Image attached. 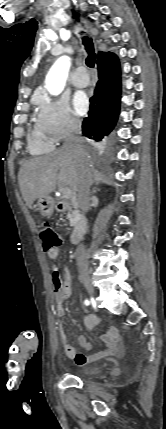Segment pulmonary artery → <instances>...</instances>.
I'll use <instances>...</instances> for the list:
<instances>
[{"instance_id":"e3ab8cb5","label":"pulmonary artery","mask_w":166,"mask_h":429,"mask_svg":"<svg viewBox=\"0 0 166 429\" xmlns=\"http://www.w3.org/2000/svg\"><path fill=\"white\" fill-rule=\"evenodd\" d=\"M72 83L78 88H84L89 84V78L84 67H79L76 69L72 77Z\"/></svg>"}]
</instances>
